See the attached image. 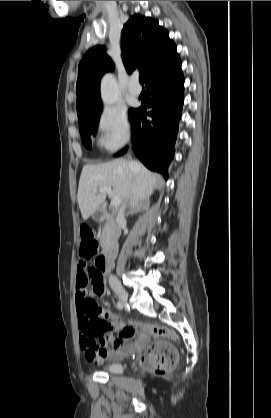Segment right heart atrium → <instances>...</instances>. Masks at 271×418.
Wrapping results in <instances>:
<instances>
[{"mask_svg": "<svg viewBox=\"0 0 271 418\" xmlns=\"http://www.w3.org/2000/svg\"><path fill=\"white\" fill-rule=\"evenodd\" d=\"M99 143L108 152L123 148L131 137V123L125 109L105 107L97 120Z\"/></svg>", "mask_w": 271, "mask_h": 418, "instance_id": "1", "label": "right heart atrium"}]
</instances>
